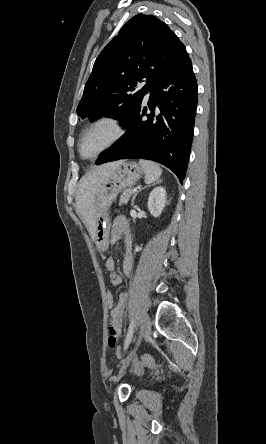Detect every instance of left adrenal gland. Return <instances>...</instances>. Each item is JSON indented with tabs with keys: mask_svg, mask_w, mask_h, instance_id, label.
I'll list each match as a JSON object with an SVG mask.
<instances>
[{
	"mask_svg": "<svg viewBox=\"0 0 266 444\" xmlns=\"http://www.w3.org/2000/svg\"><path fill=\"white\" fill-rule=\"evenodd\" d=\"M160 182H161V180L157 181V183H160ZM146 187H148V186H146ZM146 187L141 188L139 191L145 189ZM139 191H137L132 198V203H131L132 206L134 205L135 198H136Z\"/></svg>",
	"mask_w": 266,
	"mask_h": 444,
	"instance_id": "obj_1",
	"label": "left adrenal gland"
}]
</instances>
